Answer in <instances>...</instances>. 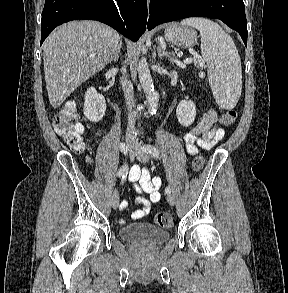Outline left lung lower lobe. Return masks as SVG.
<instances>
[{
  "mask_svg": "<svg viewBox=\"0 0 288 293\" xmlns=\"http://www.w3.org/2000/svg\"><path fill=\"white\" fill-rule=\"evenodd\" d=\"M220 19L236 30L247 46V20L243 0H151L147 28L187 17Z\"/></svg>",
  "mask_w": 288,
  "mask_h": 293,
  "instance_id": "1",
  "label": "left lung lower lobe"
}]
</instances>
